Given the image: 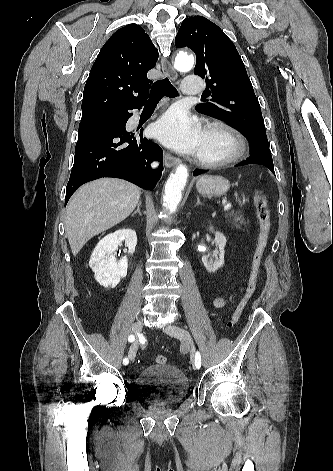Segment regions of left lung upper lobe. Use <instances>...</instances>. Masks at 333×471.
I'll list each match as a JSON object with an SVG mask.
<instances>
[{
  "label": "left lung upper lobe",
  "mask_w": 333,
  "mask_h": 471,
  "mask_svg": "<svg viewBox=\"0 0 333 471\" xmlns=\"http://www.w3.org/2000/svg\"><path fill=\"white\" fill-rule=\"evenodd\" d=\"M175 45L195 52L194 73L206 79V93L212 97L196 110L240 130L250 140L251 154L271 153L258 99L241 56L224 32L205 17H189L182 22Z\"/></svg>",
  "instance_id": "1"
}]
</instances>
